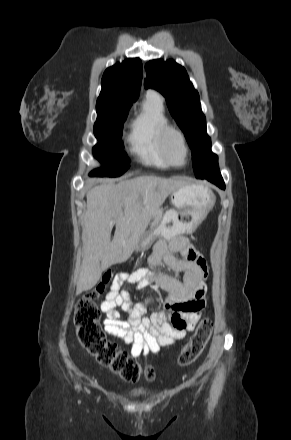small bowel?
Wrapping results in <instances>:
<instances>
[{
  "mask_svg": "<svg viewBox=\"0 0 291 440\" xmlns=\"http://www.w3.org/2000/svg\"><path fill=\"white\" fill-rule=\"evenodd\" d=\"M162 261L172 271L183 272V281L157 274L155 271ZM148 263L151 271L116 276L101 304L102 312L107 315L105 333L130 345L133 357L156 353L160 346L173 345L186 338L187 333L194 330L206 305V262L202 250L187 237L158 242ZM147 281L156 282L168 293L162 301V309L150 316L145 315L146 308L142 304L132 308L129 292L130 287H140ZM123 314H128L126 320L122 319Z\"/></svg>",
  "mask_w": 291,
  "mask_h": 440,
  "instance_id": "c3829d8e",
  "label": "small bowel"
}]
</instances>
